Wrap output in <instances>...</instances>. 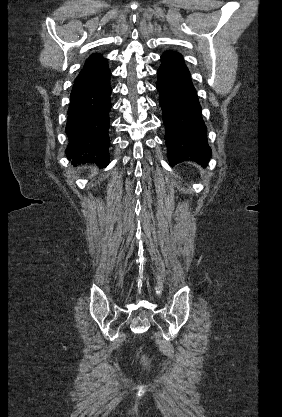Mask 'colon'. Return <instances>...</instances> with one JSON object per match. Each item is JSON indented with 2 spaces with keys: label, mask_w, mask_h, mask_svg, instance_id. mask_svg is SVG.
Listing matches in <instances>:
<instances>
[{
  "label": "colon",
  "mask_w": 282,
  "mask_h": 417,
  "mask_svg": "<svg viewBox=\"0 0 282 417\" xmlns=\"http://www.w3.org/2000/svg\"><path fill=\"white\" fill-rule=\"evenodd\" d=\"M140 359L145 363V369H147L150 362L149 358L145 354H142L140 355Z\"/></svg>",
  "instance_id": "obj_1"
}]
</instances>
